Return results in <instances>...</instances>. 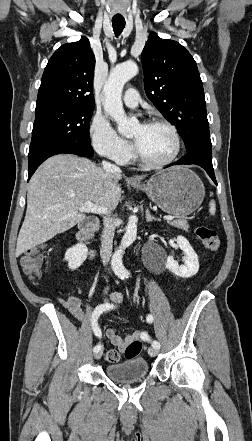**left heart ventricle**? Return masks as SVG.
Masks as SVG:
<instances>
[{
	"instance_id": "1",
	"label": "left heart ventricle",
	"mask_w": 252,
	"mask_h": 441,
	"mask_svg": "<svg viewBox=\"0 0 252 441\" xmlns=\"http://www.w3.org/2000/svg\"><path fill=\"white\" fill-rule=\"evenodd\" d=\"M131 137L142 155L151 162H161L174 150L171 132L163 126H136Z\"/></svg>"
}]
</instances>
